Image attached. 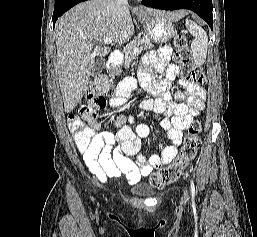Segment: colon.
<instances>
[{
	"label": "colon",
	"instance_id": "1",
	"mask_svg": "<svg viewBox=\"0 0 257 237\" xmlns=\"http://www.w3.org/2000/svg\"><path fill=\"white\" fill-rule=\"evenodd\" d=\"M176 48V59L182 69V74L188 83L193 85H204L206 82L203 70L193 64L191 51L183 35L177 34L174 38ZM90 106L101 104L106 101L105 97L113 94V86L105 75H100L93 80L89 89ZM67 124L77 142L87 147L91 142L92 136L83 126L82 117L71 113L67 117ZM201 124L193 122L187 131L184 144L179 155L166 167L159 169L150 176V184L155 188H163L175 182L189 167L196 157L200 147Z\"/></svg>",
	"mask_w": 257,
	"mask_h": 237
}]
</instances>
